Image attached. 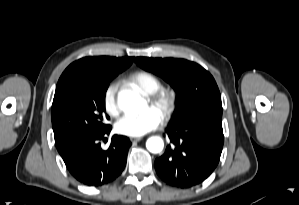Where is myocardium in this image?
<instances>
[{
    "mask_svg": "<svg viewBox=\"0 0 299 205\" xmlns=\"http://www.w3.org/2000/svg\"><path fill=\"white\" fill-rule=\"evenodd\" d=\"M147 100L150 106L159 112L161 119L168 121L176 111L178 96L177 92L171 88H160L149 94Z\"/></svg>",
    "mask_w": 299,
    "mask_h": 205,
    "instance_id": "obj_1",
    "label": "myocardium"
}]
</instances>
